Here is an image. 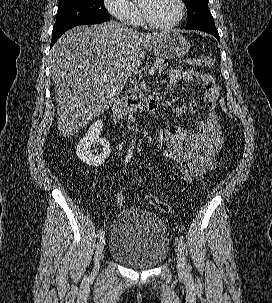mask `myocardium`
<instances>
[{
	"label": "myocardium",
	"instance_id": "obj_1",
	"mask_svg": "<svg viewBox=\"0 0 272 303\" xmlns=\"http://www.w3.org/2000/svg\"><path fill=\"white\" fill-rule=\"evenodd\" d=\"M177 2L179 4V15L173 22H171L167 25H159V24L154 23L151 20V18L149 17L146 8L143 5L139 4V11H140V16H141L143 24L145 26H147L148 28L157 30V31H165V30H170V29L175 28L183 20V18L185 16V12H186L185 2L183 0H177Z\"/></svg>",
	"mask_w": 272,
	"mask_h": 303
}]
</instances>
